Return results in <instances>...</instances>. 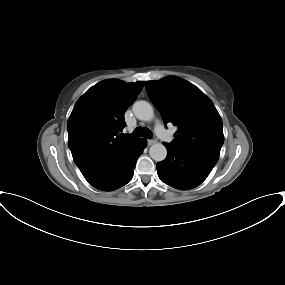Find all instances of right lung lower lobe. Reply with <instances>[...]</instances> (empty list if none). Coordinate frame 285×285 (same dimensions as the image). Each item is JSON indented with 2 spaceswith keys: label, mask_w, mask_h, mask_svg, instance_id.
<instances>
[{
  "label": "right lung lower lobe",
  "mask_w": 285,
  "mask_h": 285,
  "mask_svg": "<svg viewBox=\"0 0 285 285\" xmlns=\"http://www.w3.org/2000/svg\"><path fill=\"white\" fill-rule=\"evenodd\" d=\"M146 145V139L139 138L82 174L99 190H116L132 179L136 161Z\"/></svg>",
  "instance_id": "98d812e1"
}]
</instances>
